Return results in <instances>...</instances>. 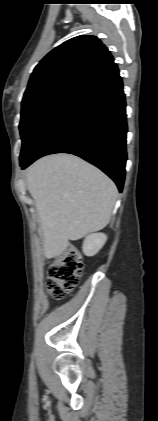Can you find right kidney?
Segmentation results:
<instances>
[{"mask_svg": "<svg viewBox=\"0 0 158 421\" xmlns=\"http://www.w3.org/2000/svg\"><path fill=\"white\" fill-rule=\"evenodd\" d=\"M107 236L103 233H94L88 235L83 242V253L86 256H94L104 246Z\"/></svg>", "mask_w": 158, "mask_h": 421, "instance_id": "1", "label": "right kidney"}]
</instances>
